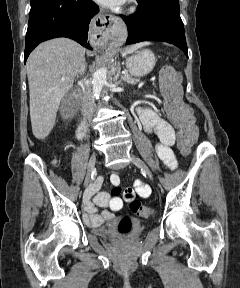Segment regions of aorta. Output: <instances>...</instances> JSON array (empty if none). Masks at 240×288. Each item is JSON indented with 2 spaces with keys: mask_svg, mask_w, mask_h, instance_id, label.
<instances>
[{
  "mask_svg": "<svg viewBox=\"0 0 240 288\" xmlns=\"http://www.w3.org/2000/svg\"><path fill=\"white\" fill-rule=\"evenodd\" d=\"M107 68L102 67L93 74L92 89L93 96L99 98L102 88L106 82Z\"/></svg>",
  "mask_w": 240,
  "mask_h": 288,
  "instance_id": "aorta-1",
  "label": "aorta"
}]
</instances>
